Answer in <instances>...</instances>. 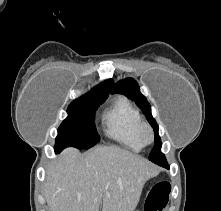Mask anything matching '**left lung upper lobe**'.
Segmentation results:
<instances>
[{"label": "left lung upper lobe", "instance_id": "5c2ea615", "mask_svg": "<svg viewBox=\"0 0 221 211\" xmlns=\"http://www.w3.org/2000/svg\"><path fill=\"white\" fill-rule=\"evenodd\" d=\"M112 93L124 94L129 99L135 100L136 104L141 108L143 113L146 115L147 120L154 128L155 132V145L149 155V160L159 165L161 162L166 161L164 154L161 153L162 143L158 135V125L155 119L152 117L150 104L147 102L145 96L142 95L139 91L137 82L132 78L121 80L117 82L116 85L113 87Z\"/></svg>", "mask_w": 221, "mask_h": 211}]
</instances>
